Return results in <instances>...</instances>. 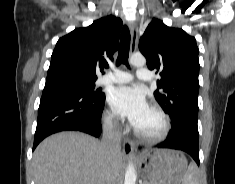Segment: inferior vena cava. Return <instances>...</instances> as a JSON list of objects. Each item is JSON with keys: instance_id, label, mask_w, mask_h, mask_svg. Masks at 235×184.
<instances>
[{"instance_id": "obj_1", "label": "inferior vena cava", "mask_w": 235, "mask_h": 184, "mask_svg": "<svg viewBox=\"0 0 235 184\" xmlns=\"http://www.w3.org/2000/svg\"><path fill=\"white\" fill-rule=\"evenodd\" d=\"M120 134L119 120H117V118H112L110 122H106L101 144L104 150H106L107 154H114V156H119Z\"/></svg>"}]
</instances>
